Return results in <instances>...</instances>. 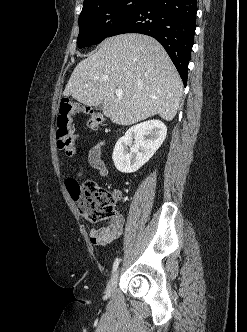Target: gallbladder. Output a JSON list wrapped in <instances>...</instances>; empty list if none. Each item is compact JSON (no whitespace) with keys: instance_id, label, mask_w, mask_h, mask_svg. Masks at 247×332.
Instances as JSON below:
<instances>
[{"instance_id":"obj_1","label":"gallbladder","mask_w":247,"mask_h":332,"mask_svg":"<svg viewBox=\"0 0 247 332\" xmlns=\"http://www.w3.org/2000/svg\"><path fill=\"white\" fill-rule=\"evenodd\" d=\"M98 110H101L103 108V102H101L99 105L96 106Z\"/></svg>"}]
</instances>
